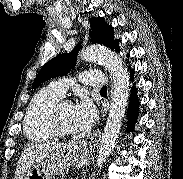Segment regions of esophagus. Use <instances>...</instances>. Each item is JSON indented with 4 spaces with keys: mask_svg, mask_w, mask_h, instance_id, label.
I'll list each match as a JSON object with an SVG mask.
<instances>
[{
    "mask_svg": "<svg viewBox=\"0 0 183 179\" xmlns=\"http://www.w3.org/2000/svg\"><path fill=\"white\" fill-rule=\"evenodd\" d=\"M100 136H101V131L96 130L90 136H88L84 140H82L81 145L85 148L93 149L98 145Z\"/></svg>",
    "mask_w": 183,
    "mask_h": 179,
    "instance_id": "34e87169",
    "label": "esophagus"
}]
</instances>
